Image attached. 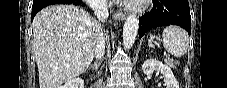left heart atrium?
<instances>
[{
    "label": "left heart atrium",
    "instance_id": "obj_1",
    "mask_svg": "<svg viewBox=\"0 0 227 88\" xmlns=\"http://www.w3.org/2000/svg\"><path fill=\"white\" fill-rule=\"evenodd\" d=\"M141 1L140 0H123L121 1L122 4L125 5H136L139 4Z\"/></svg>",
    "mask_w": 227,
    "mask_h": 88
}]
</instances>
